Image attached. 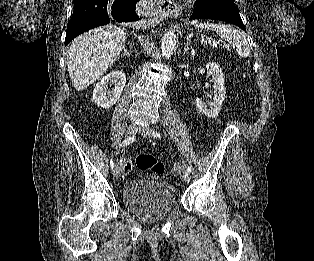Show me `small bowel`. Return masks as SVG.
Masks as SVG:
<instances>
[{
    "label": "small bowel",
    "instance_id": "1",
    "mask_svg": "<svg viewBox=\"0 0 314 261\" xmlns=\"http://www.w3.org/2000/svg\"><path fill=\"white\" fill-rule=\"evenodd\" d=\"M123 172L124 174H128L131 171V163L128 160L123 161Z\"/></svg>",
    "mask_w": 314,
    "mask_h": 261
}]
</instances>
